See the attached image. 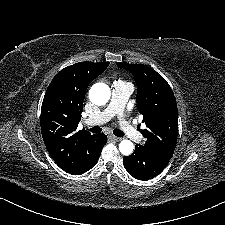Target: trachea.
<instances>
[{"label":"trachea","instance_id":"1","mask_svg":"<svg viewBox=\"0 0 225 225\" xmlns=\"http://www.w3.org/2000/svg\"><path fill=\"white\" fill-rule=\"evenodd\" d=\"M89 131H91L92 133H100L102 129L100 127L95 126L89 129ZM113 133L115 136H118V137H123L125 135L124 132L119 129H114Z\"/></svg>","mask_w":225,"mask_h":225}]
</instances>
